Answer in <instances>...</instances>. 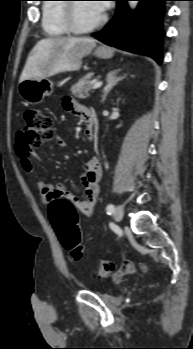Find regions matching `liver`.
<instances>
[{"label":"liver","mask_w":193,"mask_h":349,"mask_svg":"<svg viewBox=\"0 0 193 349\" xmlns=\"http://www.w3.org/2000/svg\"><path fill=\"white\" fill-rule=\"evenodd\" d=\"M96 41L91 38L49 37L37 42L31 50L19 82L46 78L58 73L77 71L82 58L91 53Z\"/></svg>","instance_id":"liver-1"}]
</instances>
